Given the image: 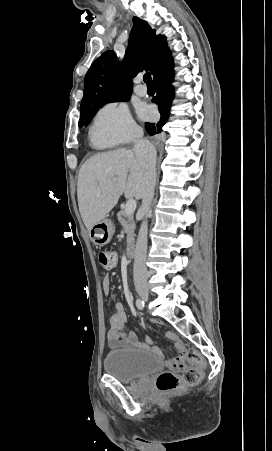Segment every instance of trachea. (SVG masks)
Masks as SVG:
<instances>
[{"instance_id": "obj_1", "label": "trachea", "mask_w": 272, "mask_h": 451, "mask_svg": "<svg viewBox=\"0 0 272 451\" xmlns=\"http://www.w3.org/2000/svg\"><path fill=\"white\" fill-rule=\"evenodd\" d=\"M143 80L147 85H153L150 73H145L143 76Z\"/></svg>"}]
</instances>
